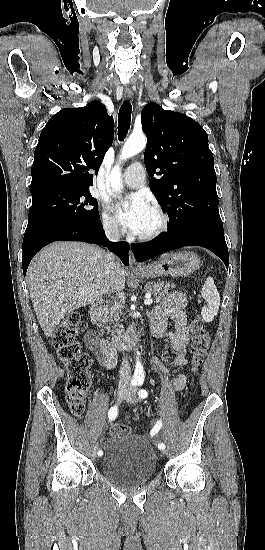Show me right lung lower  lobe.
Returning a JSON list of instances; mask_svg holds the SVG:
<instances>
[{
  "label": "right lung lower lobe",
  "instance_id": "98d812e1",
  "mask_svg": "<svg viewBox=\"0 0 265 550\" xmlns=\"http://www.w3.org/2000/svg\"><path fill=\"white\" fill-rule=\"evenodd\" d=\"M59 240L83 241L106 246L121 259L124 265H129V244L125 241L109 242L99 220L94 222L67 221L25 233L22 257L24 276L34 255L47 244Z\"/></svg>",
  "mask_w": 265,
  "mask_h": 550
}]
</instances>
